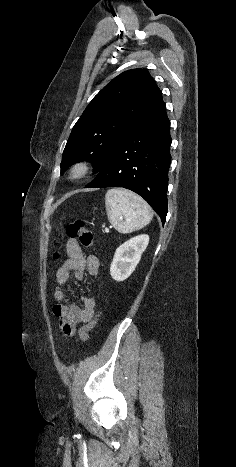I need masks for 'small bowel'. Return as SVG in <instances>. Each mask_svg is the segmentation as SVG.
Segmentation results:
<instances>
[{
  "instance_id": "1",
  "label": "small bowel",
  "mask_w": 236,
  "mask_h": 467,
  "mask_svg": "<svg viewBox=\"0 0 236 467\" xmlns=\"http://www.w3.org/2000/svg\"><path fill=\"white\" fill-rule=\"evenodd\" d=\"M67 258L56 272V287L54 297L58 302L65 299L62 287L68 282L73 273L76 280H83L85 272L96 275L100 269V261L94 255L85 257L82 248L75 240H69L66 245ZM82 307L73 303L57 304L53 314L58 320V326L64 335L71 337L76 333L80 323L90 322L96 309L95 299L91 296L81 298Z\"/></svg>"
}]
</instances>
